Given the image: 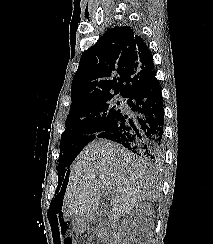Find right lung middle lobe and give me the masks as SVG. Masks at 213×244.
<instances>
[{"mask_svg":"<svg viewBox=\"0 0 213 244\" xmlns=\"http://www.w3.org/2000/svg\"><path fill=\"white\" fill-rule=\"evenodd\" d=\"M119 106L120 102L115 100L114 95H109L85 105L70 108L65 121V131L62 133L60 141L61 153L57 167L60 186L66 168L71 165L78 153L99 133L114 123L121 113Z\"/></svg>","mask_w":213,"mask_h":244,"instance_id":"right-lung-middle-lobe-1","label":"right lung middle lobe"}]
</instances>
